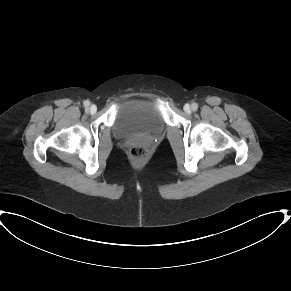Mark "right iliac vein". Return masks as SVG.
<instances>
[{
	"label": "right iliac vein",
	"instance_id": "obj_1",
	"mask_svg": "<svg viewBox=\"0 0 291 291\" xmlns=\"http://www.w3.org/2000/svg\"><path fill=\"white\" fill-rule=\"evenodd\" d=\"M91 114H94L97 111V107L95 105H92L89 109Z\"/></svg>",
	"mask_w": 291,
	"mask_h": 291
}]
</instances>
